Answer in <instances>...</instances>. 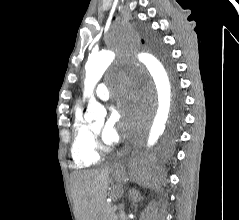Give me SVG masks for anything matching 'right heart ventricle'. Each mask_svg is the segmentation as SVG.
<instances>
[{"mask_svg":"<svg viewBox=\"0 0 239 220\" xmlns=\"http://www.w3.org/2000/svg\"><path fill=\"white\" fill-rule=\"evenodd\" d=\"M71 155L78 168L94 166L100 160L94 134L83 119L81 108H77L74 113Z\"/></svg>","mask_w":239,"mask_h":220,"instance_id":"right-heart-ventricle-1","label":"right heart ventricle"}]
</instances>
